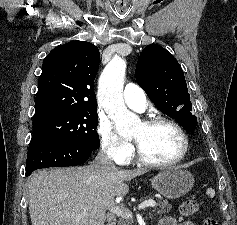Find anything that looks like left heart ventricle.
<instances>
[{"label": "left heart ventricle", "instance_id": "b2bd125f", "mask_svg": "<svg viewBox=\"0 0 237 225\" xmlns=\"http://www.w3.org/2000/svg\"><path fill=\"white\" fill-rule=\"evenodd\" d=\"M144 157L149 160L167 161L175 158L182 149L179 134L170 126L145 127L139 124L130 135Z\"/></svg>", "mask_w": 237, "mask_h": 225}]
</instances>
